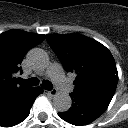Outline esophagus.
Returning <instances> with one entry per match:
<instances>
[{
	"mask_svg": "<svg viewBox=\"0 0 128 128\" xmlns=\"http://www.w3.org/2000/svg\"><path fill=\"white\" fill-rule=\"evenodd\" d=\"M49 96H55L57 94V91L55 89L49 90L45 92Z\"/></svg>",
	"mask_w": 128,
	"mask_h": 128,
	"instance_id": "1",
	"label": "esophagus"
}]
</instances>
